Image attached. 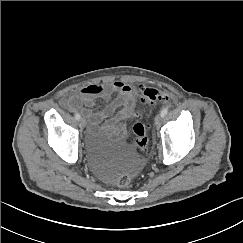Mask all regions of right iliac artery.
<instances>
[{
	"label": "right iliac artery",
	"mask_w": 243,
	"mask_h": 243,
	"mask_svg": "<svg viewBox=\"0 0 243 243\" xmlns=\"http://www.w3.org/2000/svg\"><path fill=\"white\" fill-rule=\"evenodd\" d=\"M80 118H81V117H80V114L76 113V114H75V119H76V120H80Z\"/></svg>",
	"instance_id": "82829eb1"
}]
</instances>
